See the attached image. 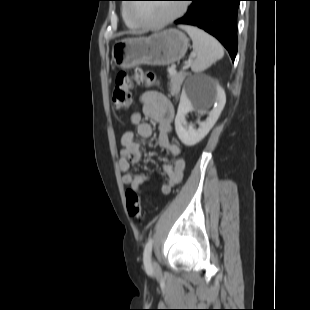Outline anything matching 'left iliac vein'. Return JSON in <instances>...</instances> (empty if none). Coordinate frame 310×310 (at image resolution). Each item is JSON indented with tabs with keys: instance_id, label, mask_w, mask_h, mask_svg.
<instances>
[{
	"instance_id": "left-iliac-vein-1",
	"label": "left iliac vein",
	"mask_w": 310,
	"mask_h": 310,
	"mask_svg": "<svg viewBox=\"0 0 310 310\" xmlns=\"http://www.w3.org/2000/svg\"><path fill=\"white\" fill-rule=\"evenodd\" d=\"M152 270L155 274L160 273V267L156 261H152Z\"/></svg>"
}]
</instances>
